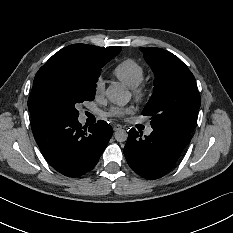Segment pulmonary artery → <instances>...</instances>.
I'll return each mask as SVG.
<instances>
[{
  "instance_id": "obj_1",
  "label": "pulmonary artery",
  "mask_w": 233,
  "mask_h": 233,
  "mask_svg": "<svg viewBox=\"0 0 233 233\" xmlns=\"http://www.w3.org/2000/svg\"><path fill=\"white\" fill-rule=\"evenodd\" d=\"M152 132H153V129L148 128L145 133H146V135H150Z\"/></svg>"
}]
</instances>
